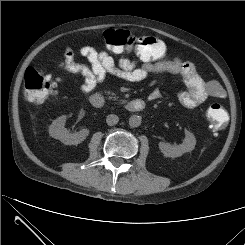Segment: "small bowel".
<instances>
[{
    "mask_svg": "<svg viewBox=\"0 0 245 245\" xmlns=\"http://www.w3.org/2000/svg\"><path fill=\"white\" fill-rule=\"evenodd\" d=\"M78 52L88 60V65L76 62L75 52L69 46L65 48L63 59L56 61V64L74 80L78 76L83 77L79 85L82 94L92 92L107 76H115L127 82H141L151 74L166 72L182 78L186 90L178 94V101L185 107H197L210 97L224 96V90L218 83L205 81L192 62L178 57L139 64L129 58H121L116 62L107 52L91 46H82ZM158 97V91L150 94L152 100Z\"/></svg>",
    "mask_w": 245,
    "mask_h": 245,
    "instance_id": "obj_1",
    "label": "small bowel"
}]
</instances>
